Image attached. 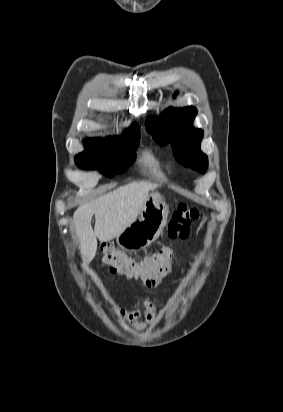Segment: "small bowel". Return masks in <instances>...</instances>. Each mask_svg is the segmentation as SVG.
<instances>
[{
    "mask_svg": "<svg viewBox=\"0 0 283 412\" xmlns=\"http://www.w3.org/2000/svg\"><path fill=\"white\" fill-rule=\"evenodd\" d=\"M172 265V261H171ZM144 285L151 287L157 283H151L147 281H143ZM156 304L151 300H142L138 303V305L132 310H118L116 315L122 318L125 322H127L131 326H136L137 321L141 317H145L149 326H155L157 323V316L155 314Z\"/></svg>",
    "mask_w": 283,
    "mask_h": 412,
    "instance_id": "small-bowel-1",
    "label": "small bowel"
}]
</instances>
